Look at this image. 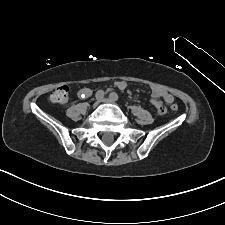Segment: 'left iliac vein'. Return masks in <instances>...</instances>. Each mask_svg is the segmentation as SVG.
<instances>
[{
	"label": "left iliac vein",
	"instance_id": "obj_1",
	"mask_svg": "<svg viewBox=\"0 0 225 225\" xmlns=\"http://www.w3.org/2000/svg\"><path fill=\"white\" fill-rule=\"evenodd\" d=\"M103 102L110 103V104H115V100H113L111 98H105V99H103Z\"/></svg>",
	"mask_w": 225,
	"mask_h": 225
}]
</instances>
